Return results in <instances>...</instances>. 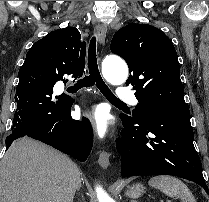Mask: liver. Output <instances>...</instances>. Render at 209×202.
Instances as JSON below:
<instances>
[{
  "mask_svg": "<svg viewBox=\"0 0 209 202\" xmlns=\"http://www.w3.org/2000/svg\"><path fill=\"white\" fill-rule=\"evenodd\" d=\"M77 165L38 141H15L0 163V202H73Z\"/></svg>",
  "mask_w": 209,
  "mask_h": 202,
  "instance_id": "6515ba94",
  "label": "liver"
}]
</instances>
